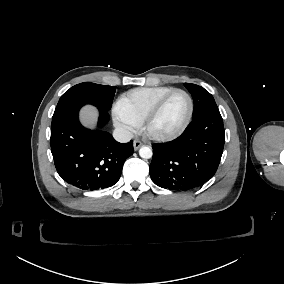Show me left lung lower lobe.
<instances>
[{
	"instance_id": "1",
	"label": "left lung lower lobe",
	"mask_w": 284,
	"mask_h": 284,
	"mask_svg": "<svg viewBox=\"0 0 284 284\" xmlns=\"http://www.w3.org/2000/svg\"><path fill=\"white\" fill-rule=\"evenodd\" d=\"M225 142L219 112L197 117L176 140L153 147L149 173L159 187L186 191L202 186L216 172Z\"/></svg>"
}]
</instances>
